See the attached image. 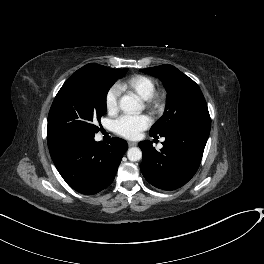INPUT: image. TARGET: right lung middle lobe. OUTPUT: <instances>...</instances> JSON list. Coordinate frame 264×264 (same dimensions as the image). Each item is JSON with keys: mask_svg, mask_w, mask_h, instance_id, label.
<instances>
[{"mask_svg": "<svg viewBox=\"0 0 264 264\" xmlns=\"http://www.w3.org/2000/svg\"><path fill=\"white\" fill-rule=\"evenodd\" d=\"M128 69L89 64L74 72L57 93L50 108L47 141L92 138L106 112V95Z\"/></svg>", "mask_w": 264, "mask_h": 264, "instance_id": "1", "label": "right lung middle lobe"}]
</instances>
